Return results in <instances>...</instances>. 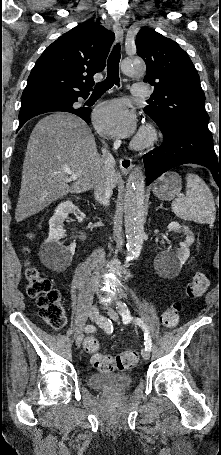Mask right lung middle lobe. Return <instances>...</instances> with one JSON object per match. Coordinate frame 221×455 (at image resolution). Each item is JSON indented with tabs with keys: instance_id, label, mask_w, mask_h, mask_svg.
Wrapping results in <instances>:
<instances>
[{
	"instance_id": "obj_1",
	"label": "right lung middle lobe",
	"mask_w": 221,
	"mask_h": 455,
	"mask_svg": "<svg viewBox=\"0 0 221 455\" xmlns=\"http://www.w3.org/2000/svg\"><path fill=\"white\" fill-rule=\"evenodd\" d=\"M75 101H76V98H73V99L62 101V102L57 103V104L58 105L64 104V105L72 106Z\"/></svg>"
}]
</instances>
